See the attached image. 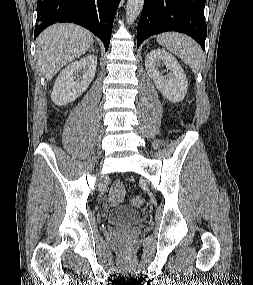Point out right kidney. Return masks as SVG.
Wrapping results in <instances>:
<instances>
[{
	"label": "right kidney",
	"mask_w": 253,
	"mask_h": 285,
	"mask_svg": "<svg viewBox=\"0 0 253 285\" xmlns=\"http://www.w3.org/2000/svg\"><path fill=\"white\" fill-rule=\"evenodd\" d=\"M97 66V57L93 54L67 65L55 80L51 93L52 101L58 106L73 102L88 88L93 81ZM82 71L83 77L76 78Z\"/></svg>",
	"instance_id": "right-kidney-1"
}]
</instances>
